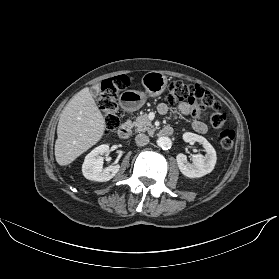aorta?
Listing matches in <instances>:
<instances>
[{"label":"aorta","mask_w":279,"mask_h":279,"mask_svg":"<svg viewBox=\"0 0 279 279\" xmlns=\"http://www.w3.org/2000/svg\"><path fill=\"white\" fill-rule=\"evenodd\" d=\"M157 145H158L159 147H161L162 149L167 150V149H170V148H171V146H172V141H171V139L168 138V137H159V138L157 139Z\"/></svg>","instance_id":"762f6f07"}]
</instances>
